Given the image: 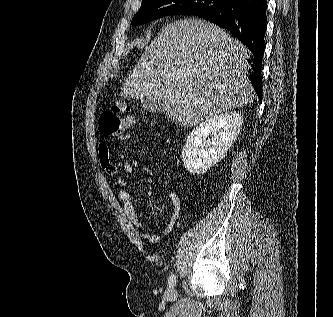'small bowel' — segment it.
Segmentation results:
<instances>
[{
    "mask_svg": "<svg viewBox=\"0 0 333 317\" xmlns=\"http://www.w3.org/2000/svg\"><path fill=\"white\" fill-rule=\"evenodd\" d=\"M129 134H122L119 136L121 141L130 140ZM98 159L101 168L109 175H115L117 173V167L111 160L110 150L108 145L105 142H101L98 146ZM123 171L129 176L133 172V164L131 161H125L123 163ZM118 186V197L120 202L122 203L123 212L126 218L138 229L141 231V237L150 242V243H158L162 240L163 236L168 234L177 224L180 209H181V200L179 194L175 190H169L167 195L172 204V215L167 223V225L162 229V231L158 234H153L144 231L142 222L138 218L136 208L132 202L131 195L127 189V178L119 177L117 179Z\"/></svg>",
    "mask_w": 333,
    "mask_h": 317,
    "instance_id": "small-bowel-1",
    "label": "small bowel"
}]
</instances>
